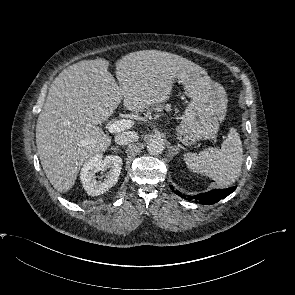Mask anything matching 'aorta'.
I'll return each mask as SVG.
<instances>
[{
    "label": "aorta",
    "mask_w": 295,
    "mask_h": 295,
    "mask_svg": "<svg viewBox=\"0 0 295 295\" xmlns=\"http://www.w3.org/2000/svg\"><path fill=\"white\" fill-rule=\"evenodd\" d=\"M165 149V144L160 138H152L147 143V150L152 155L161 154Z\"/></svg>",
    "instance_id": "762f6f07"
}]
</instances>
